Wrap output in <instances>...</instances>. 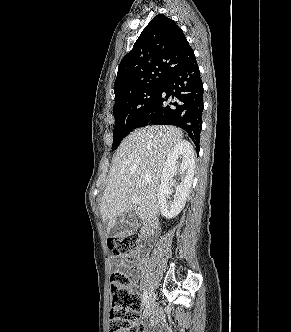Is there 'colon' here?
I'll return each instance as SVG.
<instances>
[{"label":"colon","mask_w":291,"mask_h":332,"mask_svg":"<svg viewBox=\"0 0 291 332\" xmlns=\"http://www.w3.org/2000/svg\"><path fill=\"white\" fill-rule=\"evenodd\" d=\"M110 251L127 262H135L139 258L138 236L135 233H123L108 240ZM111 310L109 332H143V325L137 324L141 298L132 291L131 280L121 271L112 273Z\"/></svg>","instance_id":"obj_1"}]
</instances>
